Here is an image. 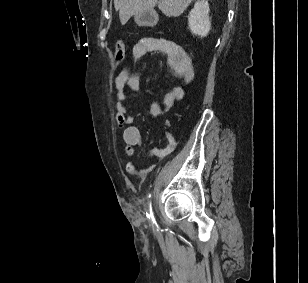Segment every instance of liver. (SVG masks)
I'll use <instances>...</instances> for the list:
<instances>
[{
	"label": "liver",
	"instance_id": "1",
	"mask_svg": "<svg viewBox=\"0 0 308 283\" xmlns=\"http://www.w3.org/2000/svg\"><path fill=\"white\" fill-rule=\"evenodd\" d=\"M194 0H114L116 10L122 25L126 24L132 15L158 8L168 17L181 15Z\"/></svg>",
	"mask_w": 308,
	"mask_h": 283
}]
</instances>
